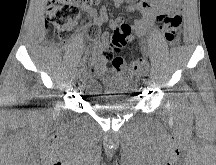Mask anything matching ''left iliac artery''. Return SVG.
<instances>
[{
    "label": "left iliac artery",
    "instance_id": "obj_1",
    "mask_svg": "<svg viewBox=\"0 0 216 165\" xmlns=\"http://www.w3.org/2000/svg\"><path fill=\"white\" fill-rule=\"evenodd\" d=\"M145 68H146L145 70H146L147 72L150 70V69H149V68H150V64H149L148 62L145 64Z\"/></svg>",
    "mask_w": 216,
    "mask_h": 165
}]
</instances>
